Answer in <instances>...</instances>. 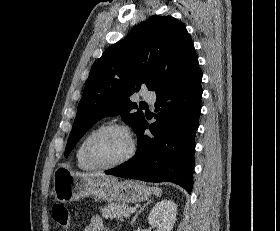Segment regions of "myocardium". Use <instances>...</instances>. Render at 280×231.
I'll return each mask as SVG.
<instances>
[{"label": "myocardium", "instance_id": "1", "mask_svg": "<svg viewBox=\"0 0 280 231\" xmlns=\"http://www.w3.org/2000/svg\"><path fill=\"white\" fill-rule=\"evenodd\" d=\"M112 130L120 131L126 136V138L128 140V148L120 159H118L112 163H109V164L100 165L93 160V158L91 156V147L97 138H99L102 134H104L108 131H112ZM134 152H135V143L129 133L128 128L122 124L109 123V124H106V125H103L102 127H100L87 139L85 147H84V151H83V157H84L85 161L94 169L107 170V169L118 167V166H121V165L127 163L133 157Z\"/></svg>", "mask_w": 280, "mask_h": 231}]
</instances>
